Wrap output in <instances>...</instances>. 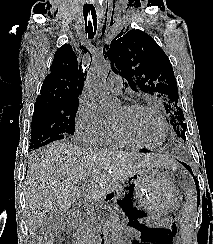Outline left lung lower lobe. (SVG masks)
Here are the masks:
<instances>
[{
  "label": "left lung lower lobe",
  "instance_id": "left-lung-lower-lobe-1",
  "mask_svg": "<svg viewBox=\"0 0 213 244\" xmlns=\"http://www.w3.org/2000/svg\"><path fill=\"white\" fill-rule=\"evenodd\" d=\"M182 165L192 174L193 178H195L191 168L185 163H182ZM195 183H196V187H197V193L199 195V187L197 186V180L196 179H195ZM127 200H128L127 197H125L123 200H119L118 201L119 205L122 207V209L124 211L129 210V205H128V201Z\"/></svg>",
  "mask_w": 213,
  "mask_h": 244
}]
</instances>
